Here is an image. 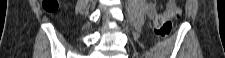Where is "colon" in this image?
Wrapping results in <instances>:
<instances>
[{"instance_id": "1", "label": "colon", "mask_w": 225, "mask_h": 58, "mask_svg": "<svg viewBox=\"0 0 225 58\" xmlns=\"http://www.w3.org/2000/svg\"><path fill=\"white\" fill-rule=\"evenodd\" d=\"M43 4L45 12L49 14H55L57 12V1L46 0ZM179 14L180 10L171 6L164 13L158 15L155 20V34L162 38L168 37L172 29V21L178 18Z\"/></svg>"}]
</instances>
